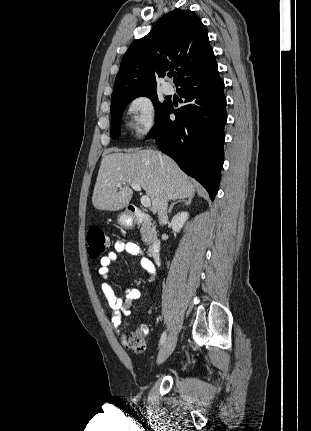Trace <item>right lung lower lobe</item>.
I'll return each instance as SVG.
<instances>
[{
    "instance_id": "1",
    "label": "right lung lower lobe",
    "mask_w": 311,
    "mask_h": 431,
    "mask_svg": "<svg viewBox=\"0 0 311 431\" xmlns=\"http://www.w3.org/2000/svg\"><path fill=\"white\" fill-rule=\"evenodd\" d=\"M224 82L217 67L180 86L185 105L174 110L172 103L155 119L147 138L173 158L188 175L199 181L214 199L223 165L224 124L227 120ZM171 113L175 120L169 119Z\"/></svg>"
}]
</instances>
